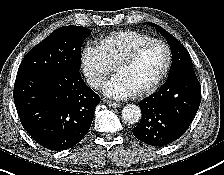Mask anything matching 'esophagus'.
Listing matches in <instances>:
<instances>
[{
    "mask_svg": "<svg viewBox=\"0 0 224 175\" xmlns=\"http://www.w3.org/2000/svg\"><path fill=\"white\" fill-rule=\"evenodd\" d=\"M106 103L111 106V107H114V108H118L121 106V103L119 102H114V101H110V100H107Z\"/></svg>",
    "mask_w": 224,
    "mask_h": 175,
    "instance_id": "obj_1",
    "label": "esophagus"
}]
</instances>
